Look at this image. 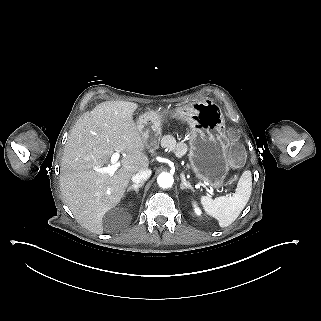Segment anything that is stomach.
<instances>
[{"label": "stomach", "mask_w": 321, "mask_h": 321, "mask_svg": "<svg viewBox=\"0 0 321 321\" xmlns=\"http://www.w3.org/2000/svg\"><path fill=\"white\" fill-rule=\"evenodd\" d=\"M173 120L187 125V157L195 178L215 189L221 188L230 172L226 160L227 124L222 110L203 99L180 103L173 109L155 107L144 111L139 116L138 127L148 142V149L159 147L163 127Z\"/></svg>", "instance_id": "stomach-1"}]
</instances>
